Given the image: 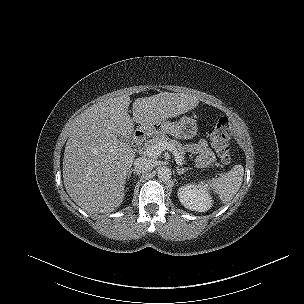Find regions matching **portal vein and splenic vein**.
<instances>
[{"mask_svg":"<svg viewBox=\"0 0 304 304\" xmlns=\"http://www.w3.org/2000/svg\"><path fill=\"white\" fill-rule=\"evenodd\" d=\"M166 149H171L166 143L164 142H159L158 144H155L154 146H150L148 147L145 151L144 154L149 156V157H155L158 156L159 154H161L163 151H165ZM175 158H176V162L178 164L181 163L179 155L177 153H173Z\"/></svg>","mask_w":304,"mask_h":304,"instance_id":"18ae733b","label":"portal vein and splenic vein"}]
</instances>
